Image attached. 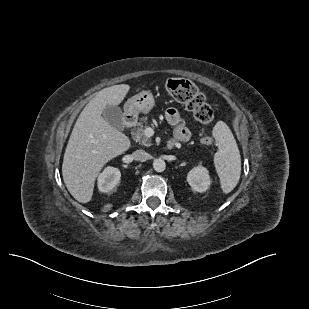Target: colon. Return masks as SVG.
<instances>
[{
	"label": "colon",
	"instance_id": "5ec220e1",
	"mask_svg": "<svg viewBox=\"0 0 309 309\" xmlns=\"http://www.w3.org/2000/svg\"><path fill=\"white\" fill-rule=\"evenodd\" d=\"M168 93L187 110L191 111L195 118L202 124H210L214 114L212 108L206 103L204 96L196 86L185 79L173 78L166 83ZM203 145L212 144V138L205 136L201 139Z\"/></svg>",
	"mask_w": 309,
	"mask_h": 309
}]
</instances>
